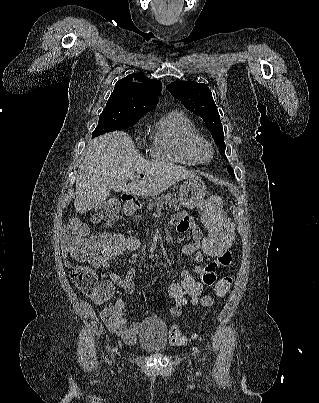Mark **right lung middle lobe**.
Masks as SVG:
<instances>
[{"instance_id":"dd1d6c3e","label":"right lung middle lobe","mask_w":319,"mask_h":403,"mask_svg":"<svg viewBox=\"0 0 319 403\" xmlns=\"http://www.w3.org/2000/svg\"><path fill=\"white\" fill-rule=\"evenodd\" d=\"M143 115L145 114L134 112L126 107L106 106L99 116L98 125L93 131L92 137L129 128L135 125Z\"/></svg>"}]
</instances>
